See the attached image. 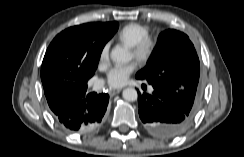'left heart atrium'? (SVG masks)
Masks as SVG:
<instances>
[{
    "mask_svg": "<svg viewBox=\"0 0 244 157\" xmlns=\"http://www.w3.org/2000/svg\"><path fill=\"white\" fill-rule=\"evenodd\" d=\"M137 68V63L132 61L127 64H119L114 66L108 73L107 83L112 88H119L124 86L129 76Z\"/></svg>",
    "mask_w": 244,
    "mask_h": 157,
    "instance_id": "39dd6f15",
    "label": "left heart atrium"
}]
</instances>
